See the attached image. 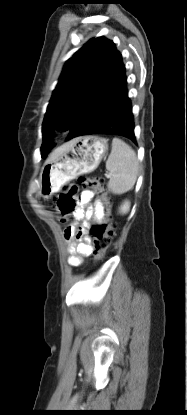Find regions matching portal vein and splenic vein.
Wrapping results in <instances>:
<instances>
[{
  "label": "portal vein and splenic vein",
  "mask_w": 187,
  "mask_h": 415,
  "mask_svg": "<svg viewBox=\"0 0 187 415\" xmlns=\"http://www.w3.org/2000/svg\"><path fill=\"white\" fill-rule=\"evenodd\" d=\"M105 177H106L107 179H109V178H111V175H110V174H105Z\"/></svg>",
  "instance_id": "obj_1"
}]
</instances>
